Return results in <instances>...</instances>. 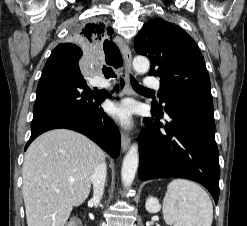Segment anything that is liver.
<instances>
[{"mask_svg": "<svg viewBox=\"0 0 247 226\" xmlns=\"http://www.w3.org/2000/svg\"><path fill=\"white\" fill-rule=\"evenodd\" d=\"M103 151L84 135L67 129L48 131L28 147L22 193L28 226H64L74 206L91 189V176Z\"/></svg>", "mask_w": 247, "mask_h": 226, "instance_id": "obj_1", "label": "liver"}]
</instances>
